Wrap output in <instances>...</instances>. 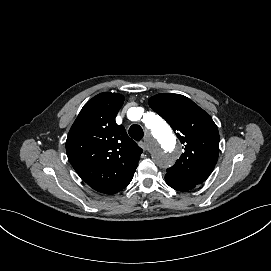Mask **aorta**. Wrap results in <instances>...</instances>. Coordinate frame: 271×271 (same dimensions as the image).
<instances>
[{
    "label": "aorta",
    "mask_w": 271,
    "mask_h": 271,
    "mask_svg": "<svg viewBox=\"0 0 271 271\" xmlns=\"http://www.w3.org/2000/svg\"><path fill=\"white\" fill-rule=\"evenodd\" d=\"M143 122L149 130V141L154 162L162 168L170 167L180 153L170 127L155 113H147Z\"/></svg>",
    "instance_id": "obj_1"
}]
</instances>
